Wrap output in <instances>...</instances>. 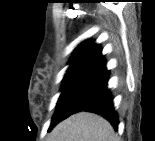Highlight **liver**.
Wrapping results in <instances>:
<instances>
[{"mask_svg":"<svg viewBox=\"0 0 155 141\" xmlns=\"http://www.w3.org/2000/svg\"><path fill=\"white\" fill-rule=\"evenodd\" d=\"M49 141H117L111 124L93 113L81 112L59 123Z\"/></svg>","mask_w":155,"mask_h":141,"instance_id":"liver-1","label":"liver"}]
</instances>
